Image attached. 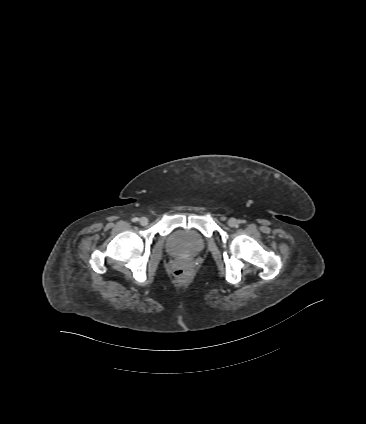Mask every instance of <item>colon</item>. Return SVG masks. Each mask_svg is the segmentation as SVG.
I'll list each match as a JSON object with an SVG mask.
<instances>
[{"instance_id": "obj_1", "label": "colon", "mask_w": 366, "mask_h": 424, "mask_svg": "<svg viewBox=\"0 0 366 424\" xmlns=\"http://www.w3.org/2000/svg\"><path fill=\"white\" fill-rule=\"evenodd\" d=\"M175 276L179 279H185L189 276L190 270L186 267L180 266L175 269Z\"/></svg>"}]
</instances>
